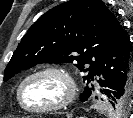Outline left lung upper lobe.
I'll return each instance as SVG.
<instances>
[{
    "label": "left lung upper lobe",
    "instance_id": "obj_1",
    "mask_svg": "<svg viewBox=\"0 0 133 118\" xmlns=\"http://www.w3.org/2000/svg\"><path fill=\"white\" fill-rule=\"evenodd\" d=\"M122 26L101 0H70L43 14L27 31L8 63L4 80L23 69L42 63H72L86 73L89 83L93 70ZM91 89L80 95L86 101ZM98 99V97L96 96ZM110 113H126L129 94L117 102L104 100Z\"/></svg>",
    "mask_w": 133,
    "mask_h": 118
}]
</instances>
